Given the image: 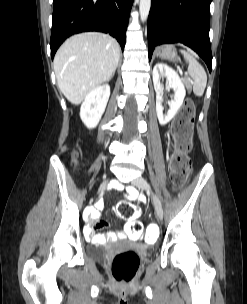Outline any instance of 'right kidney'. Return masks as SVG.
Listing matches in <instances>:
<instances>
[{
    "label": "right kidney",
    "mask_w": 247,
    "mask_h": 304,
    "mask_svg": "<svg viewBox=\"0 0 247 304\" xmlns=\"http://www.w3.org/2000/svg\"><path fill=\"white\" fill-rule=\"evenodd\" d=\"M109 96L110 86L103 84L85 97L80 108V118L87 128L92 129L97 126L105 111Z\"/></svg>",
    "instance_id": "right-kidney-1"
}]
</instances>
